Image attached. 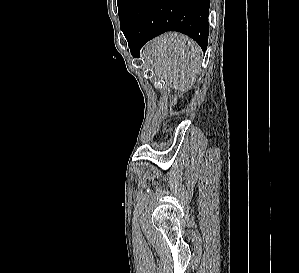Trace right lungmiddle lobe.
<instances>
[{"mask_svg": "<svg viewBox=\"0 0 299 273\" xmlns=\"http://www.w3.org/2000/svg\"><path fill=\"white\" fill-rule=\"evenodd\" d=\"M134 0H117L120 26L123 27Z\"/></svg>", "mask_w": 299, "mask_h": 273, "instance_id": "1", "label": "right lung middle lobe"}]
</instances>
